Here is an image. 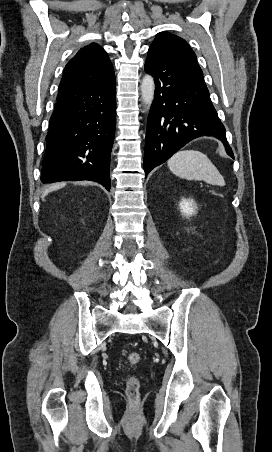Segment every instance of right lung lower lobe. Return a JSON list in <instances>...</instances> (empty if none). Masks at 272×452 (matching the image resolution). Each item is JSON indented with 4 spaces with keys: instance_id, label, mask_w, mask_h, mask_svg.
I'll return each instance as SVG.
<instances>
[{
    "instance_id": "1",
    "label": "right lung lower lobe",
    "mask_w": 272,
    "mask_h": 452,
    "mask_svg": "<svg viewBox=\"0 0 272 452\" xmlns=\"http://www.w3.org/2000/svg\"><path fill=\"white\" fill-rule=\"evenodd\" d=\"M115 127V77L57 101L46 136L42 183L90 180L110 191Z\"/></svg>"
}]
</instances>
